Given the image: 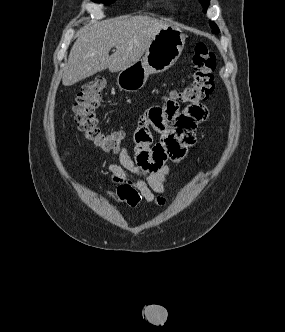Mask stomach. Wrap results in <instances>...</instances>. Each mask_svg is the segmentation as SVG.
<instances>
[{"instance_id":"stomach-1","label":"stomach","mask_w":285,"mask_h":332,"mask_svg":"<svg viewBox=\"0 0 285 332\" xmlns=\"http://www.w3.org/2000/svg\"><path fill=\"white\" fill-rule=\"evenodd\" d=\"M185 44V35L175 25L160 30L149 44L143 58L121 70L117 85L127 92L144 87L150 74L162 73L172 67L180 57Z\"/></svg>"}]
</instances>
